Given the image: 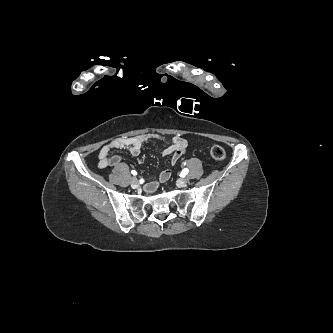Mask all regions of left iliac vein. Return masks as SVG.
Wrapping results in <instances>:
<instances>
[{
	"label": "left iliac vein",
	"instance_id": "left-iliac-vein-1",
	"mask_svg": "<svg viewBox=\"0 0 333 333\" xmlns=\"http://www.w3.org/2000/svg\"><path fill=\"white\" fill-rule=\"evenodd\" d=\"M187 182L188 181H187L186 178H180V179L177 180L176 185L178 187H184V186H186Z\"/></svg>",
	"mask_w": 333,
	"mask_h": 333
}]
</instances>
